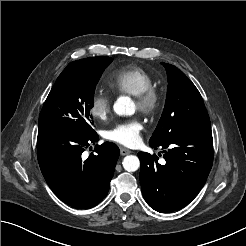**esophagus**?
Returning a JSON list of instances; mask_svg holds the SVG:
<instances>
[{
  "label": "esophagus",
  "instance_id": "1",
  "mask_svg": "<svg viewBox=\"0 0 246 246\" xmlns=\"http://www.w3.org/2000/svg\"><path fill=\"white\" fill-rule=\"evenodd\" d=\"M131 153V151L129 150V149H126V148H120V154L122 155V156H125V155H128V154H130Z\"/></svg>",
  "mask_w": 246,
  "mask_h": 246
}]
</instances>
